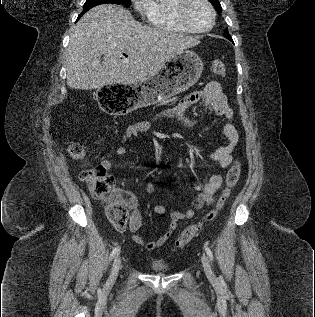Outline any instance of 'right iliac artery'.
Segmentation results:
<instances>
[{"mask_svg":"<svg viewBox=\"0 0 315 317\" xmlns=\"http://www.w3.org/2000/svg\"><path fill=\"white\" fill-rule=\"evenodd\" d=\"M119 251H120V247H119V246H118V247H115V248L113 249V251L111 252L110 260H112V259L116 256V254L119 253Z\"/></svg>","mask_w":315,"mask_h":317,"instance_id":"1","label":"right iliac artery"}]
</instances>
